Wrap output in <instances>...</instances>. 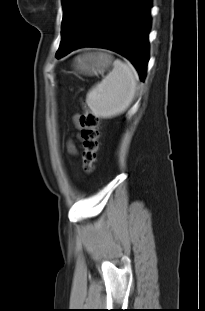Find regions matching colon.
<instances>
[{
	"instance_id": "obj_1",
	"label": "colon",
	"mask_w": 205,
	"mask_h": 311,
	"mask_svg": "<svg viewBox=\"0 0 205 311\" xmlns=\"http://www.w3.org/2000/svg\"><path fill=\"white\" fill-rule=\"evenodd\" d=\"M99 123L98 115L87 107L79 117L83 146L82 160L86 173H92L95 169L99 149Z\"/></svg>"
}]
</instances>
